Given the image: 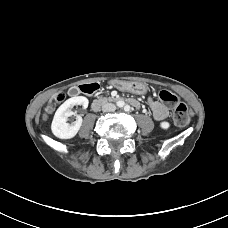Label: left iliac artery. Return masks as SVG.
I'll list each match as a JSON object with an SVG mask.
<instances>
[{"mask_svg": "<svg viewBox=\"0 0 228 228\" xmlns=\"http://www.w3.org/2000/svg\"><path fill=\"white\" fill-rule=\"evenodd\" d=\"M125 111H129L130 107L128 105L125 106Z\"/></svg>", "mask_w": 228, "mask_h": 228, "instance_id": "44dca946", "label": "left iliac artery"}]
</instances>
